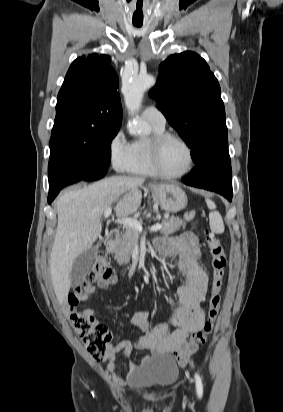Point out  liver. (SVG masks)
Wrapping results in <instances>:
<instances>
[{
  "mask_svg": "<svg viewBox=\"0 0 283 412\" xmlns=\"http://www.w3.org/2000/svg\"><path fill=\"white\" fill-rule=\"evenodd\" d=\"M145 178L114 176L63 193L57 201L58 224L50 256V274L59 303L70 291L75 259L92 247L102 230L101 217L114 205L118 217L135 213Z\"/></svg>",
  "mask_w": 283,
  "mask_h": 412,
  "instance_id": "obj_1",
  "label": "liver"
}]
</instances>
